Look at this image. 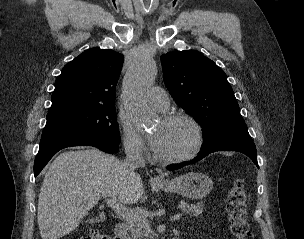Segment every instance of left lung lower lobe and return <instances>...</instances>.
Segmentation results:
<instances>
[{"label": "left lung lower lobe", "instance_id": "left-lung-lower-lobe-1", "mask_svg": "<svg viewBox=\"0 0 304 239\" xmlns=\"http://www.w3.org/2000/svg\"><path fill=\"white\" fill-rule=\"evenodd\" d=\"M224 150H230V151H238L241 152L245 155H247L254 163L255 165L259 168L258 162H257V151L256 147L253 141H233V142H228L224 143L218 146L214 147H209L202 149L199 155L186 163L182 164H175L169 167L170 171H173L175 169L181 168L184 165L192 164L194 162H197L201 160L203 157L208 155L209 153L216 152V151H224Z\"/></svg>", "mask_w": 304, "mask_h": 239}]
</instances>
